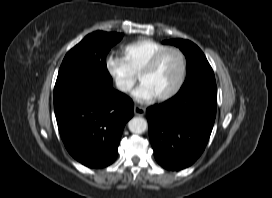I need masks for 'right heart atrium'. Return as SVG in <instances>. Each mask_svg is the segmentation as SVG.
Wrapping results in <instances>:
<instances>
[{"instance_id": "obj_1", "label": "right heart atrium", "mask_w": 272, "mask_h": 198, "mask_svg": "<svg viewBox=\"0 0 272 198\" xmlns=\"http://www.w3.org/2000/svg\"><path fill=\"white\" fill-rule=\"evenodd\" d=\"M105 68L122 94H129L136 82V74L130 69L124 58L109 55L105 59Z\"/></svg>"}]
</instances>
